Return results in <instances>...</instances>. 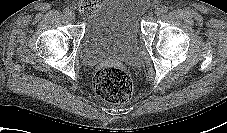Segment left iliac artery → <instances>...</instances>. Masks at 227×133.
<instances>
[{
  "label": "left iliac artery",
  "mask_w": 227,
  "mask_h": 133,
  "mask_svg": "<svg viewBox=\"0 0 227 133\" xmlns=\"http://www.w3.org/2000/svg\"><path fill=\"white\" fill-rule=\"evenodd\" d=\"M169 9H170V8L167 7V6L162 7V10H163L164 13L168 12Z\"/></svg>",
  "instance_id": "left-iliac-artery-1"
}]
</instances>
